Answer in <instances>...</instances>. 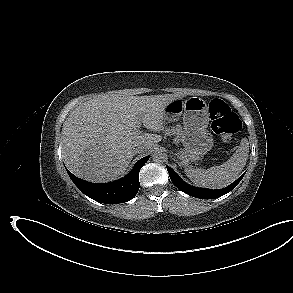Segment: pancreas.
<instances>
[{"mask_svg": "<svg viewBox=\"0 0 293 293\" xmlns=\"http://www.w3.org/2000/svg\"><path fill=\"white\" fill-rule=\"evenodd\" d=\"M166 134L170 136L171 135L177 136L176 139L179 140L182 134V127L180 125H177L175 127H172L171 129H167Z\"/></svg>", "mask_w": 293, "mask_h": 293, "instance_id": "cf45deb5", "label": "pancreas"}]
</instances>
